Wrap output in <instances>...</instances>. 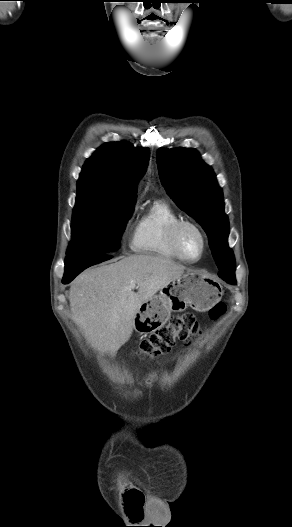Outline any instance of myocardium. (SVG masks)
<instances>
[{
	"label": "myocardium",
	"mask_w": 292,
	"mask_h": 527,
	"mask_svg": "<svg viewBox=\"0 0 292 527\" xmlns=\"http://www.w3.org/2000/svg\"><path fill=\"white\" fill-rule=\"evenodd\" d=\"M187 226L194 228L199 233V235L201 236V239H202L201 253L195 259H191V258H188L187 256H185L183 251H182V249H181V245H180V233L183 230V228H185ZM170 243H171V246H172L174 252L176 253V255L178 256V258L180 260H182L184 262H187V263H197L204 257V255H205V253L207 251V248H208V237H207V234L204 231V229L197 222H195L193 220H190V219H180L179 221L174 223L172 228H171V231H170Z\"/></svg>",
	"instance_id": "f54148a6"
}]
</instances>
